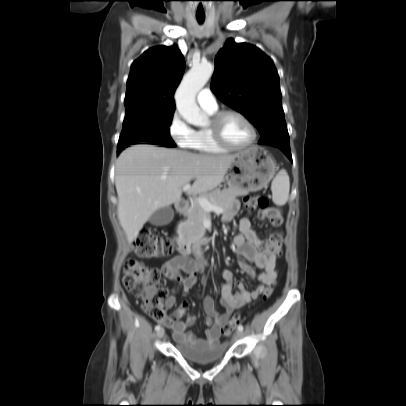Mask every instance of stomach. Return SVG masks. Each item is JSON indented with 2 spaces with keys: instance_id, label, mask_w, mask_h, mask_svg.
Here are the masks:
<instances>
[{
  "instance_id": "stomach-1",
  "label": "stomach",
  "mask_w": 406,
  "mask_h": 406,
  "mask_svg": "<svg viewBox=\"0 0 406 406\" xmlns=\"http://www.w3.org/2000/svg\"><path fill=\"white\" fill-rule=\"evenodd\" d=\"M277 170L274 159L261 147H250L237 154L227 170L231 188L256 192L267 186Z\"/></svg>"
}]
</instances>
